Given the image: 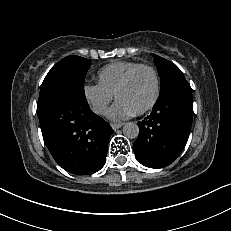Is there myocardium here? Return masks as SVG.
<instances>
[{"instance_id": "f54148a6", "label": "myocardium", "mask_w": 231, "mask_h": 231, "mask_svg": "<svg viewBox=\"0 0 231 231\" xmlns=\"http://www.w3.org/2000/svg\"><path fill=\"white\" fill-rule=\"evenodd\" d=\"M142 70H149L153 74L155 80V92L151 101L146 106L135 112V114L137 115L144 114L151 110L159 100L161 94V79L157 69L152 65L140 64L128 73V75L124 78V80L120 83V85L117 87L115 91V97L118 100L121 91H123L127 86H129L134 77Z\"/></svg>"}]
</instances>
